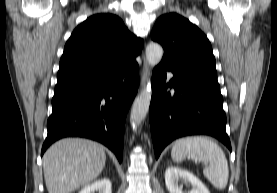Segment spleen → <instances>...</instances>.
<instances>
[{"label":"spleen","mask_w":277,"mask_h":193,"mask_svg":"<svg viewBox=\"0 0 277 193\" xmlns=\"http://www.w3.org/2000/svg\"><path fill=\"white\" fill-rule=\"evenodd\" d=\"M172 159L181 162L185 158L209 164L203 170L204 176L218 190L227 186L229 167L226 156L218 144L204 136H190L177 140L171 151Z\"/></svg>","instance_id":"spleen-1"}]
</instances>
